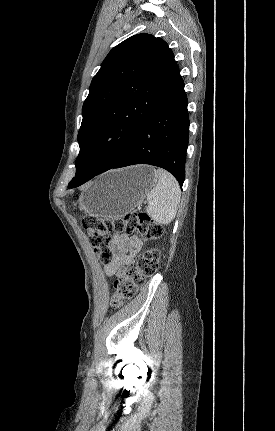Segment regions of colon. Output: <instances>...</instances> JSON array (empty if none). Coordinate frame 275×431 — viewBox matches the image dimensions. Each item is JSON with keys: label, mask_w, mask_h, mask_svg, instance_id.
Here are the masks:
<instances>
[{"label": "colon", "mask_w": 275, "mask_h": 431, "mask_svg": "<svg viewBox=\"0 0 275 431\" xmlns=\"http://www.w3.org/2000/svg\"><path fill=\"white\" fill-rule=\"evenodd\" d=\"M83 227L88 231L89 241L100 261L108 264L113 259L110 235L112 232H140L149 239L159 238L163 227L156 223L147 213H128L123 217L104 218L87 215L82 219ZM159 268V253L150 249L143 253L136 262L129 266L114 283L115 293L111 298V307L119 308L124 301L132 298L137 288L146 279L156 274Z\"/></svg>", "instance_id": "colon-1"}]
</instances>
